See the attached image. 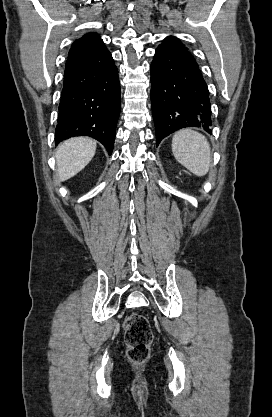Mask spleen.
I'll return each mask as SVG.
<instances>
[{"label": "spleen", "instance_id": "1", "mask_svg": "<svg viewBox=\"0 0 272 417\" xmlns=\"http://www.w3.org/2000/svg\"><path fill=\"white\" fill-rule=\"evenodd\" d=\"M172 152L175 159L197 176L207 174L211 163L208 140L192 129L177 131L172 138Z\"/></svg>", "mask_w": 272, "mask_h": 417}]
</instances>
